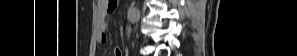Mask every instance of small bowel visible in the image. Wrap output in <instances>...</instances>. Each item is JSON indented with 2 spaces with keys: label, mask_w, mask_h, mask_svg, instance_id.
<instances>
[{
  "label": "small bowel",
  "mask_w": 297,
  "mask_h": 56,
  "mask_svg": "<svg viewBox=\"0 0 297 56\" xmlns=\"http://www.w3.org/2000/svg\"><path fill=\"white\" fill-rule=\"evenodd\" d=\"M99 10V36L98 41L100 43H105L107 41L106 29L107 25L105 22L106 16L113 12L117 6L116 0H98L97 2ZM115 56H122L121 49L117 48L115 50Z\"/></svg>",
  "instance_id": "c3829d8e"
}]
</instances>
